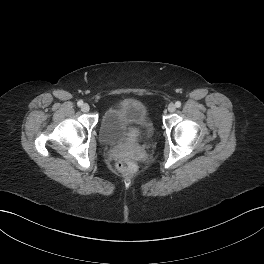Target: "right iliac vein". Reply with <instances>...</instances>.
<instances>
[{"label":"right iliac vein","instance_id":"1","mask_svg":"<svg viewBox=\"0 0 264 264\" xmlns=\"http://www.w3.org/2000/svg\"><path fill=\"white\" fill-rule=\"evenodd\" d=\"M81 110L83 112H88L90 110V107H89L88 104L85 103V104L82 105Z\"/></svg>","mask_w":264,"mask_h":264}]
</instances>
